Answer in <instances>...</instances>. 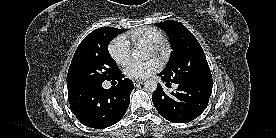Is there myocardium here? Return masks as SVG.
<instances>
[{
    "label": "myocardium",
    "instance_id": "myocardium-1",
    "mask_svg": "<svg viewBox=\"0 0 276 138\" xmlns=\"http://www.w3.org/2000/svg\"><path fill=\"white\" fill-rule=\"evenodd\" d=\"M153 52L156 54V55H159V56H165L168 52V46L166 44V42L164 41H161V42H158V43H155L153 45H150Z\"/></svg>",
    "mask_w": 276,
    "mask_h": 138
}]
</instances>
